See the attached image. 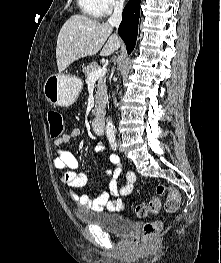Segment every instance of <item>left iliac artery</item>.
<instances>
[{
    "label": "left iliac artery",
    "mask_w": 221,
    "mask_h": 263,
    "mask_svg": "<svg viewBox=\"0 0 221 263\" xmlns=\"http://www.w3.org/2000/svg\"><path fill=\"white\" fill-rule=\"evenodd\" d=\"M108 138H109V143H110L111 147L113 149H116L117 144H116V140H115V135L114 134H109Z\"/></svg>",
    "instance_id": "obj_1"
}]
</instances>
